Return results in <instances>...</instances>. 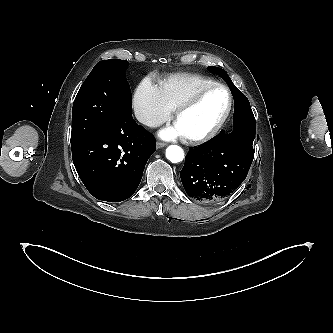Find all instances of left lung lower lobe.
<instances>
[{
    "mask_svg": "<svg viewBox=\"0 0 333 333\" xmlns=\"http://www.w3.org/2000/svg\"><path fill=\"white\" fill-rule=\"evenodd\" d=\"M254 151L244 132L221 131L208 143L189 150L180 177L185 191L196 200L214 204L226 199L246 178Z\"/></svg>",
    "mask_w": 333,
    "mask_h": 333,
    "instance_id": "1",
    "label": "left lung lower lobe"
}]
</instances>
